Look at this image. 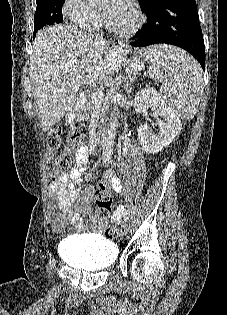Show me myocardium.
I'll return each instance as SVG.
<instances>
[{"mask_svg": "<svg viewBox=\"0 0 227 315\" xmlns=\"http://www.w3.org/2000/svg\"><path fill=\"white\" fill-rule=\"evenodd\" d=\"M132 12L134 14L135 21H134V24L131 26V28L127 30L118 29L112 25V23L109 21L107 16H104V22H105L106 27L108 28L109 31L121 37H129V36L134 35L141 28L143 24V17H142L141 12L135 5L132 6Z\"/></svg>", "mask_w": 227, "mask_h": 315, "instance_id": "myocardium-1", "label": "myocardium"}]
</instances>
